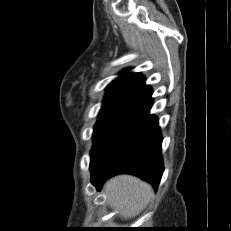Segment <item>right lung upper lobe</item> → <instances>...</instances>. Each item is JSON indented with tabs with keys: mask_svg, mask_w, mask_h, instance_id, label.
I'll return each instance as SVG.
<instances>
[{
	"mask_svg": "<svg viewBox=\"0 0 231 231\" xmlns=\"http://www.w3.org/2000/svg\"><path fill=\"white\" fill-rule=\"evenodd\" d=\"M106 91L105 99L128 98L152 105L153 91L150 86L145 85V78L139 73H130L117 78L107 86Z\"/></svg>",
	"mask_w": 231,
	"mask_h": 231,
	"instance_id": "cb5924a9",
	"label": "right lung upper lobe"
}]
</instances>
